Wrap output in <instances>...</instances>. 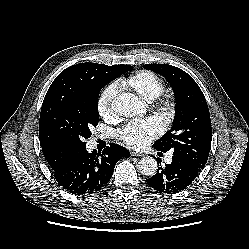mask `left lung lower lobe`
Wrapping results in <instances>:
<instances>
[{
    "label": "left lung lower lobe",
    "mask_w": 249,
    "mask_h": 249,
    "mask_svg": "<svg viewBox=\"0 0 249 249\" xmlns=\"http://www.w3.org/2000/svg\"><path fill=\"white\" fill-rule=\"evenodd\" d=\"M157 161L159 164V159ZM200 171L185 159L173 155L171 164L159 167L157 173L147 179L146 182L160 193H178L188 187L196 179Z\"/></svg>",
    "instance_id": "1"
}]
</instances>
